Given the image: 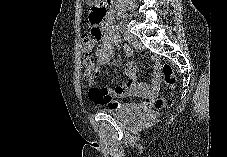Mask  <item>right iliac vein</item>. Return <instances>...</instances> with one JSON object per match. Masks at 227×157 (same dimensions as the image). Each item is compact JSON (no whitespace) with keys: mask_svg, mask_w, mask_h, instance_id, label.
Returning <instances> with one entry per match:
<instances>
[{"mask_svg":"<svg viewBox=\"0 0 227 157\" xmlns=\"http://www.w3.org/2000/svg\"><path fill=\"white\" fill-rule=\"evenodd\" d=\"M121 33L126 36V39L129 43H136L137 42V39L136 37H134L132 34H130L128 31H126L123 27H121Z\"/></svg>","mask_w":227,"mask_h":157,"instance_id":"obj_1","label":"right iliac vein"}]
</instances>
